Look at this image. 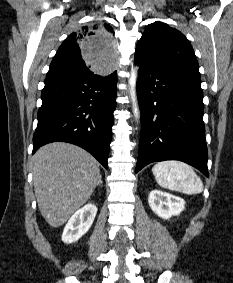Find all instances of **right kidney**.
Wrapping results in <instances>:
<instances>
[{"label":"right kidney","instance_id":"right-kidney-1","mask_svg":"<svg viewBox=\"0 0 233 283\" xmlns=\"http://www.w3.org/2000/svg\"><path fill=\"white\" fill-rule=\"evenodd\" d=\"M97 213V207L94 204H87L79 209L66 224L62 241L72 243L79 240L91 227Z\"/></svg>","mask_w":233,"mask_h":283}]
</instances>
